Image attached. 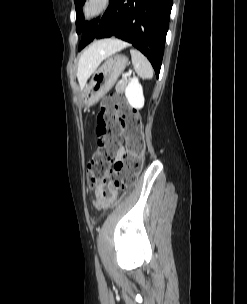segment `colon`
Returning <instances> with one entry per match:
<instances>
[{"label": "colon", "mask_w": 247, "mask_h": 304, "mask_svg": "<svg viewBox=\"0 0 247 304\" xmlns=\"http://www.w3.org/2000/svg\"><path fill=\"white\" fill-rule=\"evenodd\" d=\"M98 149L87 169V185L97 187L96 197L102 205H112L119 191L133 186L140 174L145 153L141 118L123 96L117 93L102 101L97 120ZM126 150L114 163L121 137Z\"/></svg>", "instance_id": "5ec220e1"}]
</instances>
